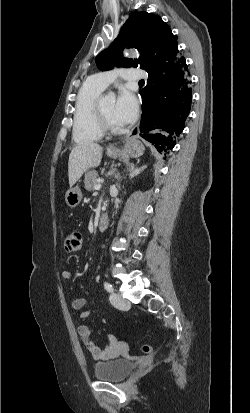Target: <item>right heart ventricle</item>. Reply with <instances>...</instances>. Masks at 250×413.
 I'll return each mask as SVG.
<instances>
[{
  "label": "right heart ventricle",
  "mask_w": 250,
  "mask_h": 413,
  "mask_svg": "<svg viewBox=\"0 0 250 413\" xmlns=\"http://www.w3.org/2000/svg\"><path fill=\"white\" fill-rule=\"evenodd\" d=\"M103 90L89 79L78 92L72 132L73 139L78 144L95 142L103 136L95 110L96 102Z\"/></svg>",
  "instance_id": "right-heart-ventricle-1"
}]
</instances>
